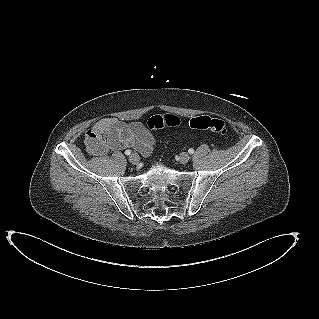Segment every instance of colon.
I'll use <instances>...</instances> for the list:
<instances>
[{"mask_svg": "<svg viewBox=\"0 0 319 319\" xmlns=\"http://www.w3.org/2000/svg\"><path fill=\"white\" fill-rule=\"evenodd\" d=\"M180 124V118L172 114L154 115L147 121V126L151 130H160L166 127H176ZM189 126L193 129L209 130L222 136H225L228 132L224 121L206 115H201L190 119Z\"/></svg>", "mask_w": 319, "mask_h": 319, "instance_id": "5ec220e1", "label": "colon"}]
</instances>
